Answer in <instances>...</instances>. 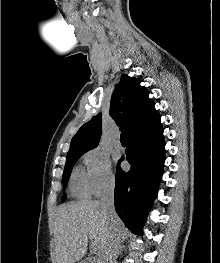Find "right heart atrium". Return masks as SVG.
<instances>
[{"label":"right heart atrium","instance_id":"d8ad5b80","mask_svg":"<svg viewBox=\"0 0 220 263\" xmlns=\"http://www.w3.org/2000/svg\"><path fill=\"white\" fill-rule=\"evenodd\" d=\"M93 195L99 196L115 184V175L109 158L98 149L87 151L83 157Z\"/></svg>","mask_w":220,"mask_h":263}]
</instances>
